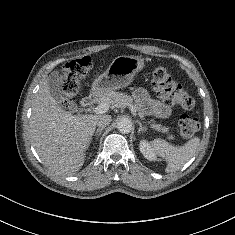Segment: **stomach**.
Masks as SVG:
<instances>
[{
  "label": "stomach",
  "instance_id": "obj_1",
  "mask_svg": "<svg viewBox=\"0 0 235 235\" xmlns=\"http://www.w3.org/2000/svg\"><path fill=\"white\" fill-rule=\"evenodd\" d=\"M144 67V61L137 56H118L107 70L99 75L92 84V93L102 96L110 91L128 86L136 73Z\"/></svg>",
  "mask_w": 235,
  "mask_h": 235
}]
</instances>
